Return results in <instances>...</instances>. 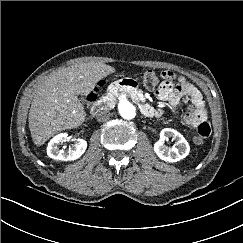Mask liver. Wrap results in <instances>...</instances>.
I'll list each match as a JSON object with an SVG mask.
<instances>
[{"label":"liver","mask_w":243,"mask_h":243,"mask_svg":"<svg viewBox=\"0 0 243 243\" xmlns=\"http://www.w3.org/2000/svg\"><path fill=\"white\" fill-rule=\"evenodd\" d=\"M115 72L101 62L76 63L45 78L31 103L28 122L32 140L43 145L58 132L80 126L86 117L78 95L86 96L98 80Z\"/></svg>","instance_id":"liver-1"}]
</instances>
